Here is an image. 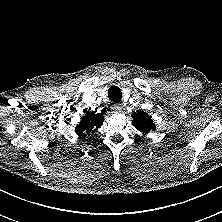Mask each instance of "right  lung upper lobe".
Instances as JSON below:
<instances>
[{"label": "right lung upper lobe", "mask_w": 222, "mask_h": 222, "mask_svg": "<svg viewBox=\"0 0 222 222\" xmlns=\"http://www.w3.org/2000/svg\"><path fill=\"white\" fill-rule=\"evenodd\" d=\"M103 114L96 111L87 112L84 117L81 118V122L75 127L76 133L80 136L83 133L89 134L96 131L103 123Z\"/></svg>", "instance_id": "right-lung-upper-lobe-1"}]
</instances>
